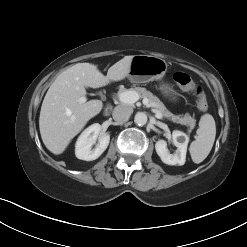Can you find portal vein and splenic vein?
Listing matches in <instances>:
<instances>
[{
	"mask_svg": "<svg viewBox=\"0 0 247 247\" xmlns=\"http://www.w3.org/2000/svg\"><path fill=\"white\" fill-rule=\"evenodd\" d=\"M119 100L120 102L124 103V104H133L135 102H137L139 100V95L134 92V91H125V92H122L119 94ZM78 102L79 103H85L86 102V98L85 97H81L78 99ZM143 103L147 106V107H150L149 103H148V100L147 99H144L143 100ZM155 112V116L158 118V119H162V114L158 111H154Z\"/></svg>",
	"mask_w": 247,
	"mask_h": 247,
	"instance_id": "obj_1",
	"label": "portal vein and splenic vein"
}]
</instances>
